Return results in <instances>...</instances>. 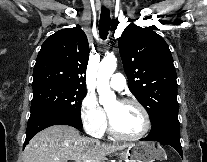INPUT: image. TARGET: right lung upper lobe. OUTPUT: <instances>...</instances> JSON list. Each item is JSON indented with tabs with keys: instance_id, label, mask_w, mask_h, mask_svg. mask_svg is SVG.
I'll return each instance as SVG.
<instances>
[{
	"instance_id": "right-lung-upper-lobe-1",
	"label": "right lung upper lobe",
	"mask_w": 207,
	"mask_h": 162,
	"mask_svg": "<svg viewBox=\"0 0 207 162\" xmlns=\"http://www.w3.org/2000/svg\"><path fill=\"white\" fill-rule=\"evenodd\" d=\"M88 59V40L79 26L55 32L45 40L37 56L33 88L62 85L85 90Z\"/></svg>"
}]
</instances>
